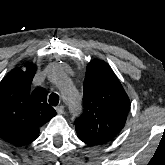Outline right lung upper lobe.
Instances as JSON below:
<instances>
[{
	"label": "right lung upper lobe",
	"instance_id": "obj_1",
	"mask_svg": "<svg viewBox=\"0 0 165 165\" xmlns=\"http://www.w3.org/2000/svg\"><path fill=\"white\" fill-rule=\"evenodd\" d=\"M15 68L0 82V137L15 146L33 142L39 127L56 115L47 104V90H30L36 67Z\"/></svg>",
	"mask_w": 165,
	"mask_h": 165
}]
</instances>
